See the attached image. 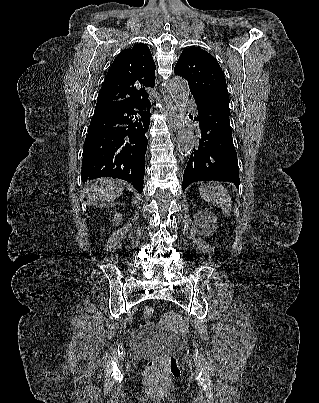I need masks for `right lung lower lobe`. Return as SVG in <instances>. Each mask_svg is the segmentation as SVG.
I'll list each match as a JSON object with an SVG mask.
<instances>
[{
	"label": "right lung lower lobe",
	"instance_id": "98d812e1",
	"mask_svg": "<svg viewBox=\"0 0 319 403\" xmlns=\"http://www.w3.org/2000/svg\"><path fill=\"white\" fill-rule=\"evenodd\" d=\"M150 115L148 100L120 110L94 113L84 142L82 180L120 178L142 192Z\"/></svg>",
	"mask_w": 319,
	"mask_h": 403
}]
</instances>
